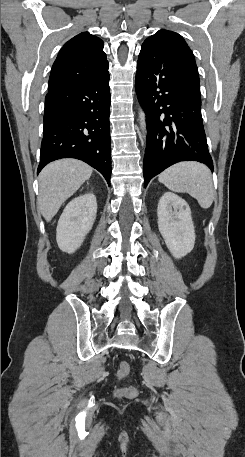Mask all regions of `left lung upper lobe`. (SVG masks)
<instances>
[{"instance_id": "5c2ea615", "label": "left lung upper lobe", "mask_w": 245, "mask_h": 457, "mask_svg": "<svg viewBox=\"0 0 245 457\" xmlns=\"http://www.w3.org/2000/svg\"><path fill=\"white\" fill-rule=\"evenodd\" d=\"M158 46L171 47L189 74L199 83L194 55L178 33L162 29L148 37L142 44L141 50H153Z\"/></svg>"}]
</instances>
